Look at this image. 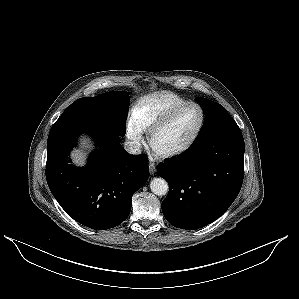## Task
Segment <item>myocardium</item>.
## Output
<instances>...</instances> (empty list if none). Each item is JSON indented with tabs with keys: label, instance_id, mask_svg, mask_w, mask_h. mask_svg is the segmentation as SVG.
Instances as JSON below:
<instances>
[{
	"label": "myocardium",
	"instance_id": "obj_1",
	"mask_svg": "<svg viewBox=\"0 0 299 299\" xmlns=\"http://www.w3.org/2000/svg\"><path fill=\"white\" fill-rule=\"evenodd\" d=\"M191 106L197 107L201 112V120H200L198 128L196 129L195 133L190 138V140L186 144L181 146L180 148L175 149L173 151H169V152H157L156 151L162 158L171 159V158L181 156L184 153H186L187 151H189L195 145V143L199 139V137L203 131V128L205 126V122H206L205 109L203 108L202 105H200L197 102H188V103L176 108L170 114H168L166 117H164L162 120L158 121L157 123H155L153 126L150 127L149 132H148V143L151 147H153L152 142H153V138H154L155 134L157 132H159L160 130L169 126L184 110H186L187 108H189Z\"/></svg>",
	"mask_w": 299,
	"mask_h": 299
}]
</instances>
